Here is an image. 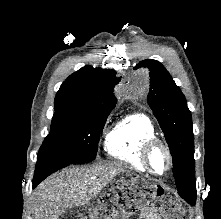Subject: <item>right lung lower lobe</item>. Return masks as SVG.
<instances>
[{
	"mask_svg": "<svg viewBox=\"0 0 221 219\" xmlns=\"http://www.w3.org/2000/svg\"><path fill=\"white\" fill-rule=\"evenodd\" d=\"M70 163L54 158H46L37 161L35 174L33 177V188L53 172L69 166Z\"/></svg>",
	"mask_w": 221,
	"mask_h": 219,
	"instance_id": "obj_1",
	"label": "right lung lower lobe"
}]
</instances>
